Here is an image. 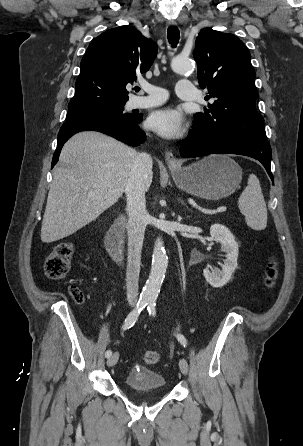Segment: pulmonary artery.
<instances>
[{
  "mask_svg": "<svg viewBox=\"0 0 303 446\" xmlns=\"http://www.w3.org/2000/svg\"><path fill=\"white\" fill-rule=\"evenodd\" d=\"M143 90L148 93V96H138L131 100L132 108H148L162 104L166 98L167 93L164 89L153 86L144 85ZM176 94L183 100H196L197 90L189 80L182 79L176 85Z\"/></svg>",
  "mask_w": 303,
  "mask_h": 446,
  "instance_id": "1",
  "label": "pulmonary artery"
}]
</instances>
